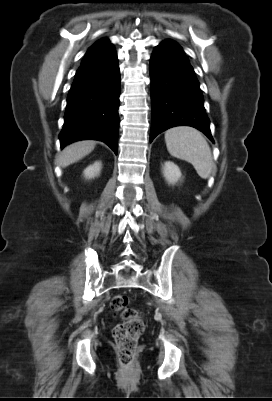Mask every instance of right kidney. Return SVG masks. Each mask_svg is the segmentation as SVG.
I'll return each mask as SVG.
<instances>
[{
	"instance_id": "1",
	"label": "right kidney",
	"mask_w": 272,
	"mask_h": 401,
	"mask_svg": "<svg viewBox=\"0 0 272 401\" xmlns=\"http://www.w3.org/2000/svg\"><path fill=\"white\" fill-rule=\"evenodd\" d=\"M100 170H101V162H95L93 165L88 166L83 173L85 178L91 179L97 176Z\"/></svg>"
}]
</instances>
